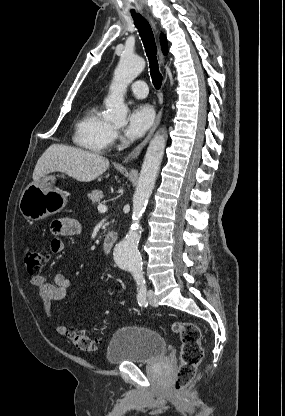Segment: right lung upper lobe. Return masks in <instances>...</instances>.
<instances>
[{
  "label": "right lung upper lobe",
  "mask_w": 285,
  "mask_h": 416,
  "mask_svg": "<svg viewBox=\"0 0 285 416\" xmlns=\"http://www.w3.org/2000/svg\"><path fill=\"white\" fill-rule=\"evenodd\" d=\"M160 43H161L162 51H163L164 55H166L168 53V46H167L166 37L163 34H161V36H160Z\"/></svg>",
  "instance_id": "1"
}]
</instances>
